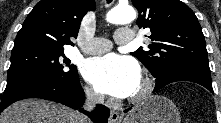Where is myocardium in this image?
I'll list each match as a JSON object with an SVG mask.
<instances>
[{"label":"myocardium","mask_w":221,"mask_h":123,"mask_svg":"<svg viewBox=\"0 0 221 123\" xmlns=\"http://www.w3.org/2000/svg\"><path fill=\"white\" fill-rule=\"evenodd\" d=\"M139 83H140V86L137 92H135L129 97V102L131 103H139L143 101L150 95V93L153 90L154 82L152 78L148 76H143L140 78Z\"/></svg>","instance_id":"f54148a6"}]
</instances>
